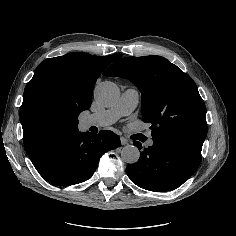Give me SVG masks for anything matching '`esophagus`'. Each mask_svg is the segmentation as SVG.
I'll return each mask as SVG.
<instances>
[{"mask_svg":"<svg viewBox=\"0 0 236 236\" xmlns=\"http://www.w3.org/2000/svg\"><path fill=\"white\" fill-rule=\"evenodd\" d=\"M128 143V140L124 137H121V145H126Z\"/></svg>","mask_w":236,"mask_h":236,"instance_id":"obj_1","label":"esophagus"}]
</instances>
